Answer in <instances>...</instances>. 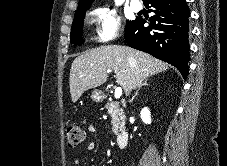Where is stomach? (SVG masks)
Returning a JSON list of instances; mask_svg holds the SVG:
<instances>
[{
	"mask_svg": "<svg viewBox=\"0 0 227 166\" xmlns=\"http://www.w3.org/2000/svg\"><path fill=\"white\" fill-rule=\"evenodd\" d=\"M91 99L95 102H101L104 99V94L99 90H94L91 94Z\"/></svg>",
	"mask_w": 227,
	"mask_h": 166,
	"instance_id": "1",
	"label": "stomach"
}]
</instances>
